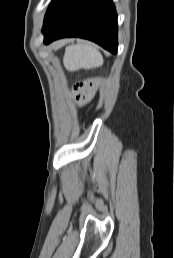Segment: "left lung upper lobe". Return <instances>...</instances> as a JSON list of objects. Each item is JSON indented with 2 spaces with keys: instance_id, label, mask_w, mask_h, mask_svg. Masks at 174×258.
Returning a JSON list of instances; mask_svg holds the SVG:
<instances>
[{
  "instance_id": "1",
  "label": "left lung upper lobe",
  "mask_w": 174,
  "mask_h": 258,
  "mask_svg": "<svg viewBox=\"0 0 174 258\" xmlns=\"http://www.w3.org/2000/svg\"><path fill=\"white\" fill-rule=\"evenodd\" d=\"M58 0H52V2L50 3L49 7H48V10L46 12V15L45 17L48 15V13L50 12V10L52 9V7L55 5V3L57 2Z\"/></svg>"
}]
</instances>
